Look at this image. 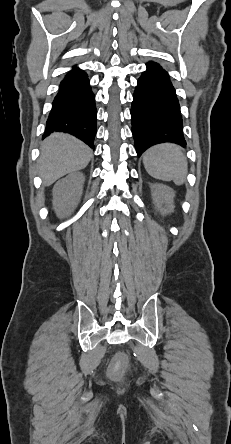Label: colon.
<instances>
[{
	"instance_id": "5ec220e1",
	"label": "colon",
	"mask_w": 231,
	"mask_h": 444,
	"mask_svg": "<svg viewBox=\"0 0 231 444\" xmlns=\"http://www.w3.org/2000/svg\"><path fill=\"white\" fill-rule=\"evenodd\" d=\"M127 365V359L123 355H117L110 366V374L113 377H120Z\"/></svg>"
}]
</instances>
